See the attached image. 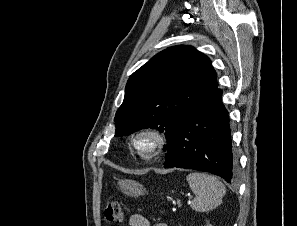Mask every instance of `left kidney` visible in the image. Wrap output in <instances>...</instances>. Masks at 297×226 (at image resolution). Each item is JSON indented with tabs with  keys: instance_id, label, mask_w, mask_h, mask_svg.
<instances>
[{
	"instance_id": "5707ae66",
	"label": "left kidney",
	"mask_w": 297,
	"mask_h": 226,
	"mask_svg": "<svg viewBox=\"0 0 297 226\" xmlns=\"http://www.w3.org/2000/svg\"><path fill=\"white\" fill-rule=\"evenodd\" d=\"M206 226H212L211 224H207Z\"/></svg>"
}]
</instances>
